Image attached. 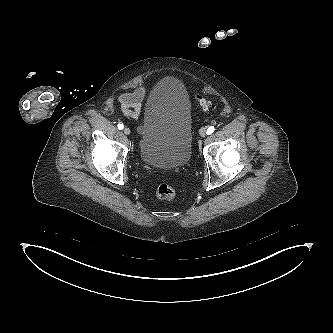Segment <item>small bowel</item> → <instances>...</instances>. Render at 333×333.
Masks as SVG:
<instances>
[{"mask_svg": "<svg viewBox=\"0 0 333 333\" xmlns=\"http://www.w3.org/2000/svg\"><path fill=\"white\" fill-rule=\"evenodd\" d=\"M144 93L145 91L143 88H137L119 96L118 101L124 115L133 119L138 118L141 112V102Z\"/></svg>", "mask_w": 333, "mask_h": 333, "instance_id": "c3829d8e", "label": "small bowel"}]
</instances>
